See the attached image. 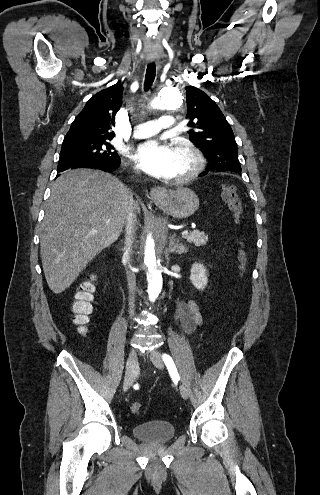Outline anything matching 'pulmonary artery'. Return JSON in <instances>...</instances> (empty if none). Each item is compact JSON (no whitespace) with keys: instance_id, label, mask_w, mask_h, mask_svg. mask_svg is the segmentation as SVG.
<instances>
[{"instance_id":"obj_1","label":"pulmonary artery","mask_w":320,"mask_h":495,"mask_svg":"<svg viewBox=\"0 0 320 495\" xmlns=\"http://www.w3.org/2000/svg\"><path fill=\"white\" fill-rule=\"evenodd\" d=\"M174 128V119L171 116H161L158 120L140 123L134 127L133 137L147 138L157 134L159 131Z\"/></svg>"}]
</instances>
